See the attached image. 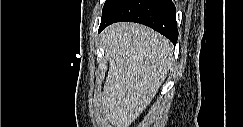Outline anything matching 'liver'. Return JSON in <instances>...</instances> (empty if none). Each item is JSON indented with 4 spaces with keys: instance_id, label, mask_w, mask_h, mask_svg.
I'll list each match as a JSON object with an SVG mask.
<instances>
[{
    "instance_id": "6515ba94",
    "label": "liver",
    "mask_w": 243,
    "mask_h": 127,
    "mask_svg": "<svg viewBox=\"0 0 243 127\" xmlns=\"http://www.w3.org/2000/svg\"><path fill=\"white\" fill-rule=\"evenodd\" d=\"M110 60L101 105L115 127H129L157 94L173 62L168 39L141 24H112L102 33Z\"/></svg>"
}]
</instances>
